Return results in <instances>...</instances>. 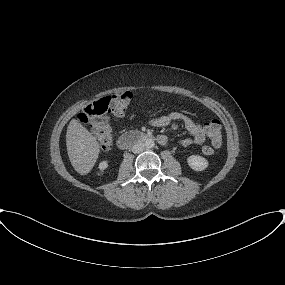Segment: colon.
<instances>
[{"label": "colon", "instance_id": "colon-1", "mask_svg": "<svg viewBox=\"0 0 285 285\" xmlns=\"http://www.w3.org/2000/svg\"><path fill=\"white\" fill-rule=\"evenodd\" d=\"M132 95L129 92L103 97L89 105L78 115V119L94 130L102 151H108L113 143V133L109 126L110 116H123L130 105ZM205 131L211 145H205L202 152L212 155L222 142V128L218 121L212 120L205 124Z\"/></svg>", "mask_w": 285, "mask_h": 285}]
</instances>
